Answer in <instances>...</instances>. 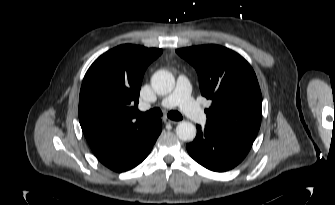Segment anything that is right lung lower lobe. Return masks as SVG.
<instances>
[{"label":"right lung lower lobe","mask_w":335,"mask_h":205,"mask_svg":"<svg viewBox=\"0 0 335 205\" xmlns=\"http://www.w3.org/2000/svg\"><path fill=\"white\" fill-rule=\"evenodd\" d=\"M162 122L159 119V126L155 134L144 142L139 147L114 156L98 157L99 161L116 172H124L130 170L141 163L151 151L154 143L156 142L159 134L161 133Z\"/></svg>","instance_id":"right-lung-lower-lobe-1"}]
</instances>
